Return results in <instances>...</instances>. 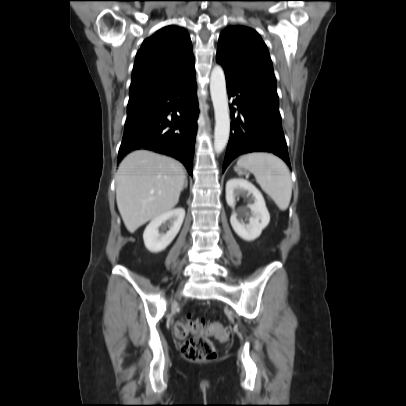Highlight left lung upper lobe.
<instances>
[{
    "label": "left lung upper lobe",
    "mask_w": 406,
    "mask_h": 406,
    "mask_svg": "<svg viewBox=\"0 0 406 406\" xmlns=\"http://www.w3.org/2000/svg\"><path fill=\"white\" fill-rule=\"evenodd\" d=\"M217 62L242 77L276 91V79L267 46L246 26L227 27L220 35Z\"/></svg>",
    "instance_id": "obj_1"
}]
</instances>
